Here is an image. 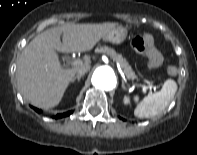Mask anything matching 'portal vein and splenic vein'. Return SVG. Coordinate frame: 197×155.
<instances>
[{"label":"portal vein and splenic vein","mask_w":197,"mask_h":155,"mask_svg":"<svg viewBox=\"0 0 197 155\" xmlns=\"http://www.w3.org/2000/svg\"><path fill=\"white\" fill-rule=\"evenodd\" d=\"M80 63H82L80 60L74 61L72 63L73 66L79 65ZM133 85L136 86H140L142 87L143 91L145 92L147 89H149L150 91H152V89L155 91L157 89V86L153 85L151 82L147 81V85H141V84H136L133 83Z\"/></svg>","instance_id":"portal-vein-and-splenic-vein-1"}]
</instances>
